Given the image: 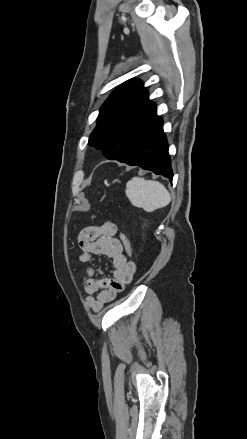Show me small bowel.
I'll return each instance as SVG.
<instances>
[{
    "instance_id": "small-bowel-1",
    "label": "small bowel",
    "mask_w": 247,
    "mask_h": 439,
    "mask_svg": "<svg viewBox=\"0 0 247 439\" xmlns=\"http://www.w3.org/2000/svg\"><path fill=\"white\" fill-rule=\"evenodd\" d=\"M116 232L117 226L107 222L101 226L86 227L78 236L81 262L89 263L94 255H103L111 259L114 267L112 278L96 276L93 268L86 270L83 288L88 294L86 303L94 311L111 302L132 280L136 270L134 262L124 255L122 243L114 237Z\"/></svg>"
}]
</instances>
